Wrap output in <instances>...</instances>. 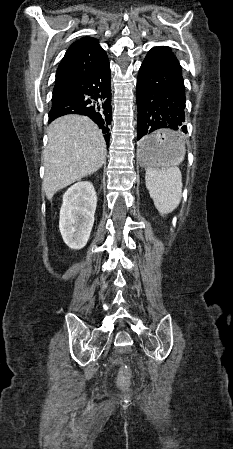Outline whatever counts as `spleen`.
I'll list each match as a JSON object with an SVG mask.
<instances>
[{"label":"spleen","mask_w":233,"mask_h":449,"mask_svg":"<svg viewBox=\"0 0 233 449\" xmlns=\"http://www.w3.org/2000/svg\"><path fill=\"white\" fill-rule=\"evenodd\" d=\"M178 136L179 145L184 153L182 137ZM145 180L150 197L161 215H166L178 207L182 197V181L181 172L175 164L163 167L149 166Z\"/></svg>","instance_id":"spleen-1"}]
</instances>
